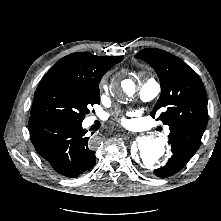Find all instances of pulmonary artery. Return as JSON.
<instances>
[{"mask_svg": "<svg viewBox=\"0 0 221 221\" xmlns=\"http://www.w3.org/2000/svg\"><path fill=\"white\" fill-rule=\"evenodd\" d=\"M160 92V85L154 79H148L140 89V97L143 101L148 102L154 99ZM166 134L170 133L169 129L165 130Z\"/></svg>", "mask_w": 221, "mask_h": 221, "instance_id": "obj_1", "label": "pulmonary artery"}]
</instances>
